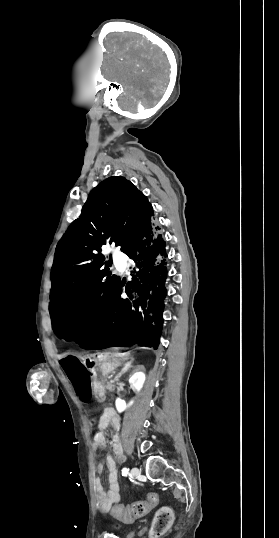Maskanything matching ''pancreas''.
<instances>
[{
    "instance_id": "pancreas-1",
    "label": "pancreas",
    "mask_w": 279,
    "mask_h": 538,
    "mask_svg": "<svg viewBox=\"0 0 279 538\" xmlns=\"http://www.w3.org/2000/svg\"><path fill=\"white\" fill-rule=\"evenodd\" d=\"M114 387H115V381H114L113 379H110V380L108 381V388H107V391H108L109 393H113V392L115 391V388H114Z\"/></svg>"
}]
</instances>
